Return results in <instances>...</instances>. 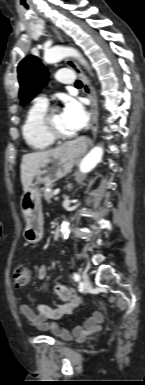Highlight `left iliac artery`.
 <instances>
[{"mask_svg": "<svg viewBox=\"0 0 145 385\" xmlns=\"http://www.w3.org/2000/svg\"><path fill=\"white\" fill-rule=\"evenodd\" d=\"M73 278H74L75 281H79L80 280V275L78 273H74Z\"/></svg>", "mask_w": 145, "mask_h": 385, "instance_id": "obj_1", "label": "left iliac artery"}]
</instances>
